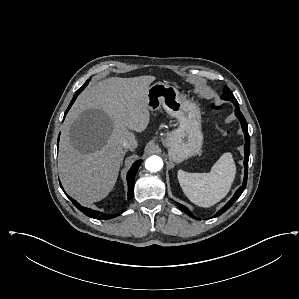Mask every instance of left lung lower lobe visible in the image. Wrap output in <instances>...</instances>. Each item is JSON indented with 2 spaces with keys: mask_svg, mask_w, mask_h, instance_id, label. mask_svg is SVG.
<instances>
[{
  "mask_svg": "<svg viewBox=\"0 0 299 299\" xmlns=\"http://www.w3.org/2000/svg\"><path fill=\"white\" fill-rule=\"evenodd\" d=\"M233 104L235 105V115L236 117L239 119L243 132H244V136H245V146H244V153H245V159H244V167H245V176H244V181L242 186L235 192L234 196L232 197V199L222 208L220 209L213 217H217L219 215H221L222 213H224L229 207H231V205L240 197V195L243 193V191L246 188V183H247V175H248V160H249V155H250V137H249V133H248V124L243 116V114L240 111L239 108V104L237 101H232ZM177 206L184 211L185 213H187L189 216H191L192 218H195L192 213L182 204L177 203Z\"/></svg>",
  "mask_w": 299,
  "mask_h": 299,
  "instance_id": "obj_1",
  "label": "left lung lower lobe"
}]
</instances>
